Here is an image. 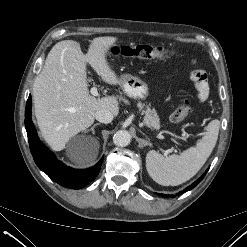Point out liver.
<instances>
[{
    "instance_id": "1",
    "label": "liver",
    "mask_w": 247,
    "mask_h": 247,
    "mask_svg": "<svg viewBox=\"0 0 247 247\" xmlns=\"http://www.w3.org/2000/svg\"><path fill=\"white\" fill-rule=\"evenodd\" d=\"M117 40L111 36L94 38L86 55L73 40L60 41L50 50L34 81L33 101L42 137L53 150H63L71 137L90 127L96 111L105 109L114 116L119 114L116 96L96 98L89 94L86 73L88 62L104 82L120 84L106 59ZM97 155L96 143L89 154L73 160L79 166H89Z\"/></svg>"
}]
</instances>
